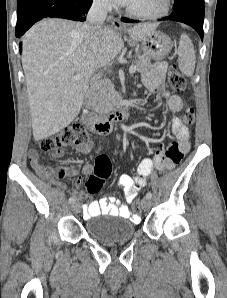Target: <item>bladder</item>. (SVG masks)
I'll list each match as a JSON object with an SVG mask.
<instances>
[{
	"mask_svg": "<svg viewBox=\"0 0 227 298\" xmlns=\"http://www.w3.org/2000/svg\"><path fill=\"white\" fill-rule=\"evenodd\" d=\"M85 229L95 241L111 245L131 240L136 233V224L128 219H90L86 221Z\"/></svg>",
	"mask_w": 227,
	"mask_h": 298,
	"instance_id": "obj_1",
	"label": "bladder"
}]
</instances>
